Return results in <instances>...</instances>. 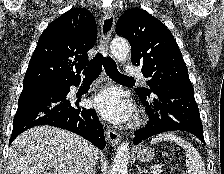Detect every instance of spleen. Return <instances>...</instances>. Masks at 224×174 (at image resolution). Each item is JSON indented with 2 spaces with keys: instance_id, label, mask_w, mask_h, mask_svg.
I'll list each match as a JSON object with an SVG mask.
<instances>
[{
  "instance_id": "obj_1",
  "label": "spleen",
  "mask_w": 224,
  "mask_h": 174,
  "mask_svg": "<svg viewBox=\"0 0 224 174\" xmlns=\"http://www.w3.org/2000/svg\"><path fill=\"white\" fill-rule=\"evenodd\" d=\"M174 141L180 145L186 154V167L189 174H206L205 165L201 159L199 152L187 141L174 135L173 133H161L151 139V144H156L162 141Z\"/></svg>"
}]
</instances>
